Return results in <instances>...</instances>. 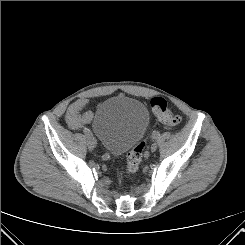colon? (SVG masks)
Returning <instances> with one entry per match:
<instances>
[{"mask_svg":"<svg viewBox=\"0 0 245 245\" xmlns=\"http://www.w3.org/2000/svg\"><path fill=\"white\" fill-rule=\"evenodd\" d=\"M151 107L158 119L169 126H176L181 123L182 117L178 114L172 113L167 106V102L162 97H154L151 99ZM145 144L140 142L135 145L127 156L126 173L128 175H134L142 161L143 151Z\"/></svg>","mask_w":245,"mask_h":245,"instance_id":"1","label":"colon"}]
</instances>
